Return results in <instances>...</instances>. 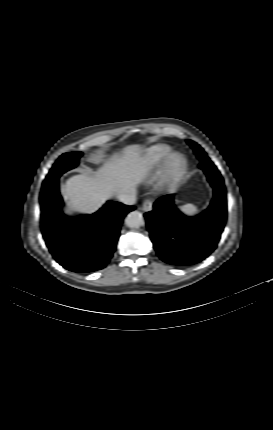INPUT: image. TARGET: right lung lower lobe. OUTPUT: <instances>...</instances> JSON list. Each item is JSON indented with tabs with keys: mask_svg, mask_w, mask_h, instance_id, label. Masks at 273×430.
<instances>
[{
	"mask_svg": "<svg viewBox=\"0 0 273 430\" xmlns=\"http://www.w3.org/2000/svg\"><path fill=\"white\" fill-rule=\"evenodd\" d=\"M40 203L41 231L47 247L60 265L77 273L106 267L116 249L123 219L134 209L108 201L92 215L67 217L61 211L58 180L43 184Z\"/></svg>",
	"mask_w": 273,
	"mask_h": 430,
	"instance_id": "1",
	"label": "right lung lower lobe"
}]
</instances>
